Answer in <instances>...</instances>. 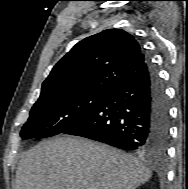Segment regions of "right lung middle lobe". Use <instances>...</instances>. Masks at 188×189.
Wrapping results in <instances>:
<instances>
[{"mask_svg":"<svg viewBox=\"0 0 188 189\" xmlns=\"http://www.w3.org/2000/svg\"><path fill=\"white\" fill-rule=\"evenodd\" d=\"M111 91L93 88L39 97L20 135L30 139L63 133L84 119Z\"/></svg>","mask_w":188,"mask_h":189,"instance_id":"right-lung-middle-lobe-1","label":"right lung middle lobe"}]
</instances>
